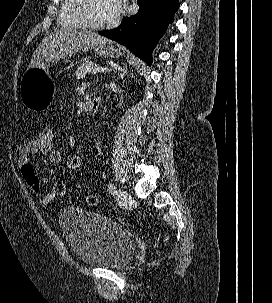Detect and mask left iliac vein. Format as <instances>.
Returning <instances> with one entry per match:
<instances>
[{
  "mask_svg": "<svg viewBox=\"0 0 272 303\" xmlns=\"http://www.w3.org/2000/svg\"><path fill=\"white\" fill-rule=\"evenodd\" d=\"M117 195H118L119 199L121 200V202L124 204L129 203V201L131 200V195L126 190L119 189L117 191Z\"/></svg>",
  "mask_w": 272,
  "mask_h": 303,
  "instance_id": "4c4485c4",
  "label": "left iliac vein"
}]
</instances>
